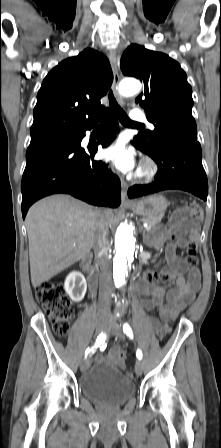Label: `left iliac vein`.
Listing matches in <instances>:
<instances>
[{
	"label": "left iliac vein",
	"instance_id": "1",
	"mask_svg": "<svg viewBox=\"0 0 221 448\" xmlns=\"http://www.w3.org/2000/svg\"><path fill=\"white\" fill-rule=\"evenodd\" d=\"M110 333H111L112 335L118 337V338H122L121 327H120L117 323H115V322H113L112 325H111ZM142 371H143V365H142V362H141L140 360H138V361L135 363V372H136L137 375H141V374H142Z\"/></svg>",
	"mask_w": 221,
	"mask_h": 448
}]
</instances>
